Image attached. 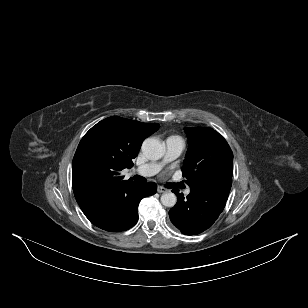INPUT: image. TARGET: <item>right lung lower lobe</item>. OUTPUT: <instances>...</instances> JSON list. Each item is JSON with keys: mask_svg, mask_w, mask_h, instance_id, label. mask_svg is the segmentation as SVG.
<instances>
[{"mask_svg": "<svg viewBox=\"0 0 308 308\" xmlns=\"http://www.w3.org/2000/svg\"><path fill=\"white\" fill-rule=\"evenodd\" d=\"M157 185L153 182L136 184L114 206L97 213L85 215L95 226L109 231H125L138 220V205L142 198L156 193Z\"/></svg>", "mask_w": 308, "mask_h": 308, "instance_id": "obj_1", "label": "right lung lower lobe"}]
</instances>
